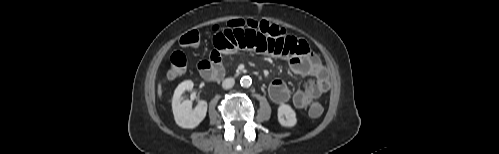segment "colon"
I'll return each mask as SVG.
<instances>
[{
    "label": "colon",
    "mask_w": 499,
    "mask_h": 154,
    "mask_svg": "<svg viewBox=\"0 0 499 154\" xmlns=\"http://www.w3.org/2000/svg\"><path fill=\"white\" fill-rule=\"evenodd\" d=\"M228 28H251L260 31L263 34L272 37H282L285 35V31L278 25L272 24L268 21L261 20H233L228 23ZM215 32L220 31V27H214ZM199 33L197 31H189L185 33L181 39L180 44L183 47H195L199 43ZM187 69V57L182 51H175L170 57V65L168 69V76L170 78H177L185 73ZM309 116L312 118H318L323 113V107L318 102H313L309 108Z\"/></svg>",
    "instance_id": "obj_1"
}]
</instances>
